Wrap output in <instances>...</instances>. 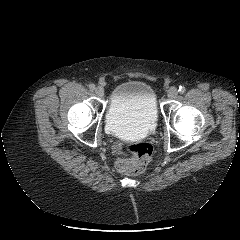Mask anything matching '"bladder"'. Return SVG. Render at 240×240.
<instances>
[{"label": "bladder", "mask_w": 240, "mask_h": 240, "mask_svg": "<svg viewBox=\"0 0 240 240\" xmlns=\"http://www.w3.org/2000/svg\"><path fill=\"white\" fill-rule=\"evenodd\" d=\"M158 115L153 87L147 81L130 79L112 90L106 111V127L119 137L147 135L156 128Z\"/></svg>", "instance_id": "bladder-1"}]
</instances>
